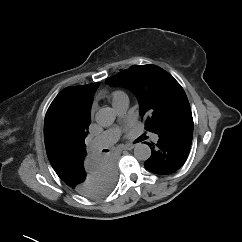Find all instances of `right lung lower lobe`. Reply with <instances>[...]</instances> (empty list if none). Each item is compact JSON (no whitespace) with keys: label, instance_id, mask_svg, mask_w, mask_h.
<instances>
[{"label":"right lung lower lobe","instance_id":"1","mask_svg":"<svg viewBox=\"0 0 242 242\" xmlns=\"http://www.w3.org/2000/svg\"><path fill=\"white\" fill-rule=\"evenodd\" d=\"M59 177L79 194L101 198L107 195L116 183V160L110 155L87 157L86 154L72 169Z\"/></svg>","mask_w":242,"mask_h":242}]
</instances>
